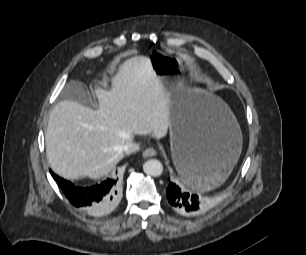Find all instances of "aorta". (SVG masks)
<instances>
[{
	"instance_id": "1",
	"label": "aorta",
	"mask_w": 306,
	"mask_h": 255,
	"mask_svg": "<svg viewBox=\"0 0 306 255\" xmlns=\"http://www.w3.org/2000/svg\"><path fill=\"white\" fill-rule=\"evenodd\" d=\"M143 171L149 176L158 177L163 173V165L157 159H150L143 164Z\"/></svg>"
}]
</instances>
